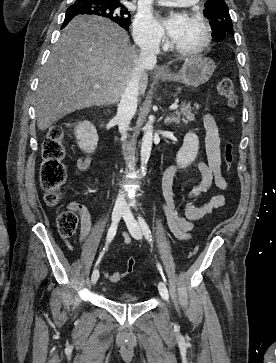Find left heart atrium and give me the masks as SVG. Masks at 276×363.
I'll list each match as a JSON object with an SVG mask.
<instances>
[{"label": "left heart atrium", "mask_w": 276, "mask_h": 363, "mask_svg": "<svg viewBox=\"0 0 276 363\" xmlns=\"http://www.w3.org/2000/svg\"><path fill=\"white\" fill-rule=\"evenodd\" d=\"M183 18L184 17L182 15H176L164 21L167 33L171 38L176 37V35L178 34L183 22Z\"/></svg>", "instance_id": "left-heart-atrium-1"}]
</instances>
